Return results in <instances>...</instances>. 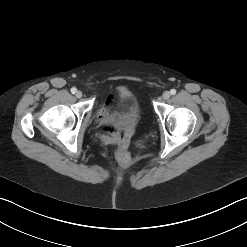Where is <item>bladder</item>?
<instances>
[{
  "instance_id": "1",
  "label": "bladder",
  "mask_w": 247,
  "mask_h": 247,
  "mask_svg": "<svg viewBox=\"0 0 247 247\" xmlns=\"http://www.w3.org/2000/svg\"><path fill=\"white\" fill-rule=\"evenodd\" d=\"M118 97L121 100V111L117 115L109 118L106 127L115 130H128L140 123L142 110L129 89H120L118 91Z\"/></svg>"
}]
</instances>
